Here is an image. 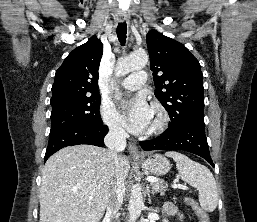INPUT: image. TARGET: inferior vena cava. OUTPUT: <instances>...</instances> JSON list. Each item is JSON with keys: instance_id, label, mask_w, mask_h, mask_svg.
Wrapping results in <instances>:
<instances>
[{"instance_id": "inferior-vena-cava-1", "label": "inferior vena cava", "mask_w": 257, "mask_h": 222, "mask_svg": "<svg viewBox=\"0 0 257 222\" xmlns=\"http://www.w3.org/2000/svg\"><path fill=\"white\" fill-rule=\"evenodd\" d=\"M127 137L128 134L122 128V126L117 123H113L110 124L109 132L104 138V143L107 147L106 158L114 176L113 190L107 205V213L113 220L117 219L118 217V211L122 205L123 196L125 194V184L122 178L119 176L118 153L125 149Z\"/></svg>"}]
</instances>
